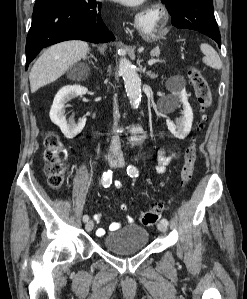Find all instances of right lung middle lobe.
<instances>
[{
    "label": "right lung middle lobe",
    "mask_w": 247,
    "mask_h": 299,
    "mask_svg": "<svg viewBox=\"0 0 247 299\" xmlns=\"http://www.w3.org/2000/svg\"><path fill=\"white\" fill-rule=\"evenodd\" d=\"M57 0H36L35 5H34V11L38 10L52 2H55Z\"/></svg>",
    "instance_id": "dd1d6c3e"
}]
</instances>
